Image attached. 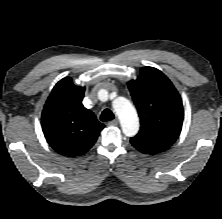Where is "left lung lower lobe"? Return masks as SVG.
<instances>
[{
    "instance_id": "0a47b994",
    "label": "left lung lower lobe",
    "mask_w": 222,
    "mask_h": 219,
    "mask_svg": "<svg viewBox=\"0 0 222 219\" xmlns=\"http://www.w3.org/2000/svg\"><path fill=\"white\" fill-rule=\"evenodd\" d=\"M137 150H139L140 152L142 153H146V154H156V153H159L158 151H155V150H149V149H146V148H142V147H138V146H134Z\"/></svg>"
}]
</instances>
